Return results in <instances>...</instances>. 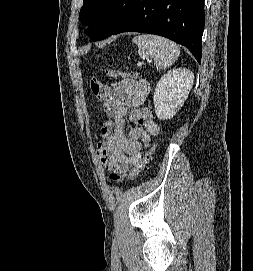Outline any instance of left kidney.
Returning <instances> with one entry per match:
<instances>
[{
    "label": "left kidney",
    "mask_w": 253,
    "mask_h": 271,
    "mask_svg": "<svg viewBox=\"0 0 253 271\" xmlns=\"http://www.w3.org/2000/svg\"><path fill=\"white\" fill-rule=\"evenodd\" d=\"M194 74L185 68L168 71L158 81L153 102L159 120L171 119L183 106L192 88Z\"/></svg>",
    "instance_id": "obj_1"
}]
</instances>
